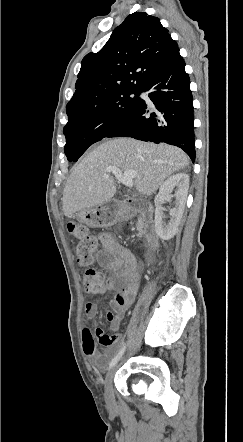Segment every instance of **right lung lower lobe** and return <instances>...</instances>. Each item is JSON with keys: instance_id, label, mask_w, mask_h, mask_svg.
Segmentation results:
<instances>
[{"instance_id": "obj_1", "label": "right lung lower lobe", "mask_w": 243, "mask_h": 442, "mask_svg": "<svg viewBox=\"0 0 243 442\" xmlns=\"http://www.w3.org/2000/svg\"><path fill=\"white\" fill-rule=\"evenodd\" d=\"M154 104L149 106L138 98L131 114L114 127L106 137L127 136L154 143H167L183 149L194 162V115L190 79L179 51L160 66L144 83Z\"/></svg>"}]
</instances>
